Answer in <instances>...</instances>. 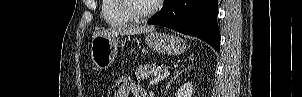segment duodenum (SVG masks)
Masks as SVG:
<instances>
[{"label": "duodenum", "instance_id": "obj_1", "mask_svg": "<svg viewBox=\"0 0 302 97\" xmlns=\"http://www.w3.org/2000/svg\"><path fill=\"white\" fill-rule=\"evenodd\" d=\"M143 97H147V95L145 94V95H143Z\"/></svg>", "mask_w": 302, "mask_h": 97}]
</instances>
